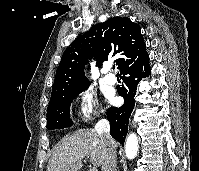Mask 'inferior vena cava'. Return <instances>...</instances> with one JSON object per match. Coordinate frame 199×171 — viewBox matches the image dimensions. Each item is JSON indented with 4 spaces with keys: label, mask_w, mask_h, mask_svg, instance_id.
Listing matches in <instances>:
<instances>
[{
    "label": "inferior vena cava",
    "mask_w": 199,
    "mask_h": 171,
    "mask_svg": "<svg viewBox=\"0 0 199 171\" xmlns=\"http://www.w3.org/2000/svg\"><path fill=\"white\" fill-rule=\"evenodd\" d=\"M95 130L104 140L107 146V155L102 166L103 171H116V143L110 135V124L107 119H101L95 126Z\"/></svg>",
    "instance_id": "1"
}]
</instances>
